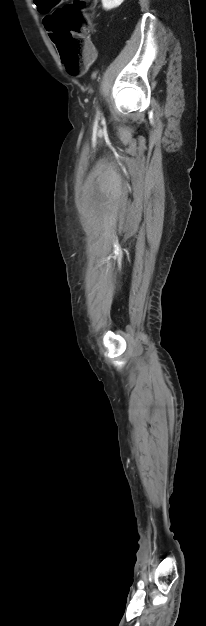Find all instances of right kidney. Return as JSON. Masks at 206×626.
<instances>
[{
  "label": "right kidney",
  "instance_id": "1",
  "mask_svg": "<svg viewBox=\"0 0 206 626\" xmlns=\"http://www.w3.org/2000/svg\"><path fill=\"white\" fill-rule=\"evenodd\" d=\"M124 0H102V5L105 10H111L121 5Z\"/></svg>",
  "mask_w": 206,
  "mask_h": 626
}]
</instances>
